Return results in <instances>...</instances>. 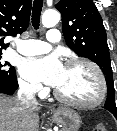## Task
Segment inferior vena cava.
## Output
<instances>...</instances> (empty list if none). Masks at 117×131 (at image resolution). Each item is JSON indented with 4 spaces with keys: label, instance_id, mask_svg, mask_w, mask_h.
<instances>
[{
    "label": "inferior vena cava",
    "instance_id": "1",
    "mask_svg": "<svg viewBox=\"0 0 117 131\" xmlns=\"http://www.w3.org/2000/svg\"><path fill=\"white\" fill-rule=\"evenodd\" d=\"M36 88L33 86L21 87L18 90V100L27 106H37L38 102L35 98Z\"/></svg>",
    "mask_w": 117,
    "mask_h": 131
}]
</instances>
